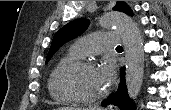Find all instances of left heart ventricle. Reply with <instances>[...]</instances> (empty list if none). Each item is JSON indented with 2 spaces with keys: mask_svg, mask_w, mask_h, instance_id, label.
<instances>
[{
  "mask_svg": "<svg viewBox=\"0 0 171 110\" xmlns=\"http://www.w3.org/2000/svg\"><path fill=\"white\" fill-rule=\"evenodd\" d=\"M67 83L76 93L85 97L98 96L107 88L96 69L76 70L68 76Z\"/></svg>",
  "mask_w": 171,
  "mask_h": 110,
  "instance_id": "b2bd125f",
  "label": "left heart ventricle"
}]
</instances>
